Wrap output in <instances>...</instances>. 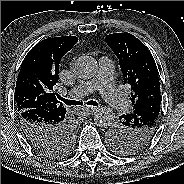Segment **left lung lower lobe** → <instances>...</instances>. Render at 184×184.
<instances>
[{"label":"left lung lower lobe","instance_id":"left-lung-lower-lobe-1","mask_svg":"<svg viewBox=\"0 0 184 184\" xmlns=\"http://www.w3.org/2000/svg\"><path fill=\"white\" fill-rule=\"evenodd\" d=\"M160 103H161V99H159V98H154V99L144 103L141 107H139L136 110L135 116H137V118H140V117H144V115H149V113L153 114L158 109H160ZM145 119H147V118H145Z\"/></svg>","mask_w":184,"mask_h":184}]
</instances>
